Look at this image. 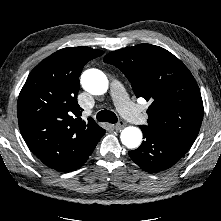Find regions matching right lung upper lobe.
Returning a JSON list of instances; mask_svg holds the SVG:
<instances>
[{
  "label": "right lung upper lobe",
  "instance_id": "1",
  "mask_svg": "<svg viewBox=\"0 0 221 221\" xmlns=\"http://www.w3.org/2000/svg\"><path fill=\"white\" fill-rule=\"evenodd\" d=\"M103 53L85 46L63 48L32 70L19 94L21 134L31 151L57 171L75 170L105 133L93 119L82 121L77 103L84 65Z\"/></svg>",
  "mask_w": 221,
  "mask_h": 221
}]
</instances>
